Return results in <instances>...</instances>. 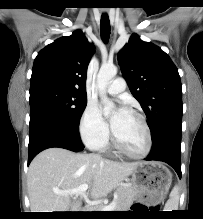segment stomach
Wrapping results in <instances>:
<instances>
[{
    "mask_svg": "<svg viewBox=\"0 0 203 219\" xmlns=\"http://www.w3.org/2000/svg\"><path fill=\"white\" fill-rule=\"evenodd\" d=\"M131 176L136 197L151 205L165 198L172 182L171 172L160 162H139Z\"/></svg>",
    "mask_w": 203,
    "mask_h": 219,
    "instance_id": "obj_1",
    "label": "stomach"
}]
</instances>
